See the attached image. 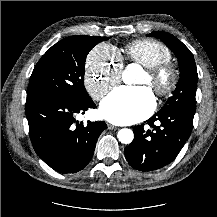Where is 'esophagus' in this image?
<instances>
[{"label":"esophagus","mask_w":217,"mask_h":217,"mask_svg":"<svg viewBox=\"0 0 217 217\" xmlns=\"http://www.w3.org/2000/svg\"><path fill=\"white\" fill-rule=\"evenodd\" d=\"M108 129L109 130H115V129H117V127L116 126H114V125H111V124H108Z\"/></svg>","instance_id":"obj_1"}]
</instances>
